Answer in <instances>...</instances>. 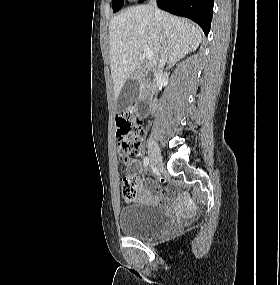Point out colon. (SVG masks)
Wrapping results in <instances>:
<instances>
[{
	"mask_svg": "<svg viewBox=\"0 0 280 285\" xmlns=\"http://www.w3.org/2000/svg\"><path fill=\"white\" fill-rule=\"evenodd\" d=\"M117 130L116 137L118 149L122 158L136 153L140 147L143 127L141 119L127 109L120 112L116 117ZM123 192L128 200L135 196V182L133 178L124 179Z\"/></svg>",
	"mask_w": 280,
	"mask_h": 285,
	"instance_id": "obj_1",
	"label": "colon"
}]
</instances>
